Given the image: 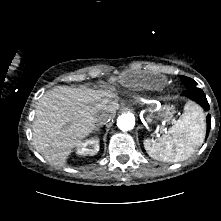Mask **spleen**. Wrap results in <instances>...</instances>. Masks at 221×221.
Segmentation results:
<instances>
[{
	"instance_id": "obj_1",
	"label": "spleen",
	"mask_w": 221,
	"mask_h": 221,
	"mask_svg": "<svg viewBox=\"0 0 221 221\" xmlns=\"http://www.w3.org/2000/svg\"><path fill=\"white\" fill-rule=\"evenodd\" d=\"M205 115L201 107L188 102L184 113L158 139L144 140V148L153 159L179 162L188 159L202 145L205 137Z\"/></svg>"
}]
</instances>
